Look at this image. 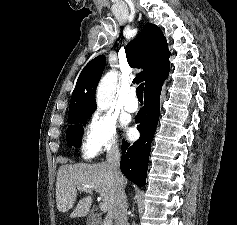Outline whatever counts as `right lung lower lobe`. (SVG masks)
<instances>
[{"label": "right lung lower lobe", "instance_id": "98d812e1", "mask_svg": "<svg viewBox=\"0 0 237 225\" xmlns=\"http://www.w3.org/2000/svg\"><path fill=\"white\" fill-rule=\"evenodd\" d=\"M152 86L144 93V107L138 112L135 122L141 134L138 141L130 144L123 140L121 172L133 183L146 184L148 160L160 114V94L163 85Z\"/></svg>", "mask_w": 237, "mask_h": 225}]
</instances>
